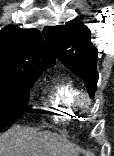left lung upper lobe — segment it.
Segmentation results:
<instances>
[{"instance_id": "5c2ea615", "label": "left lung upper lobe", "mask_w": 114, "mask_h": 156, "mask_svg": "<svg viewBox=\"0 0 114 156\" xmlns=\"http://www.w3.org/2000/svg\"><path fill=\"white\" fill-rule=\"evenodd\" d=\"M43 34L56 57L84 80L88 93L93 98L98 81V51L91 43L90 30L74 19L63 26H47Z\"/></svg>"}]
</instances>
